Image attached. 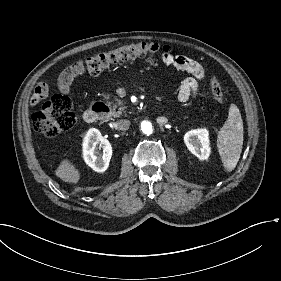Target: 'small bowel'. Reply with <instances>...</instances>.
<instances>
[{
    "label": "small bowel",
    "instance_id": "obj_1",
    "mask_svg": "<svg viewBox=\"0 0 281 281\" xmlns=\"http://www.w3.org/2000/svg\"><path fill=\"white\" fill-rule=\"evenodd\" d=\"M162 60L168 66L189 73L191 76L185 79L179 89L178 99L185 103L197 95L199 82L203 80L205 73L203 67L195 60L182 56L166 53ZM82 74L79 63L73 64L63 70L58 79V89L63 94H68L71 89L72 82L76 77ZM34 89L36 94L30 98L31 106H35L40 102L48 99V91L50 86L48 82L40 80L36 82Z\"/></svg>",
    "mask_w": 281,
    "mask_h": 281
}]
</instances>
